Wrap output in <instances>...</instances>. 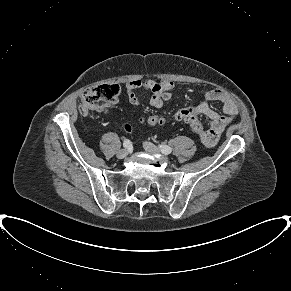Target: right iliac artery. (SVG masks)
I'll return each mask as SVG.
<instances>
[{
    "instance_id": "obj_1",
    "label": "right iliac artery",
    "mask_w": 291,
    "mask_h": 291,
    "mask_svg": "<svg viewBox=\"0 0 291 291\" xmlns=\"http://www.w3.org/2000/svg\"><path fill=\"white\" fill-rule=\"evenodd\" d=\"M131 141L130 140H128V139H126V140H124V142H123V147H125V148H130L131 147Z\"/></svg>"
}]
</instances>
